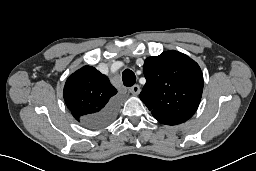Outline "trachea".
I'll list each match as a JSON object with an SVG mask.
<instances>
[{
	"label": "trachea",
	"instance_id": "1",
	"mask_svg": "<svg viewBox=\"0 0 256 171\" xmlns=\"http://www.w3.org/2000/svg\"><path fill=\"white\" fill-rule=\"evenodd\" d=\"M122 80H123V84L126 87H131L136 82V76L132 70L125 69L122 74Z\"/></svg>",
	"mask_w": 256,
	"mask_h": 171
}]
</instances>
